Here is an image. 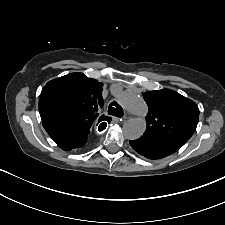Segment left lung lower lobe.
Instances as JSON below:
<instances>
[{"instance_id":"0a47b994","label":"left lung lower lobe","mask_w":225,"mask_h":225,"mask_svg":"<svg viewBox=\"0 0 225 225\" xmlns=\"http://www.w3.org/2000/svg\"><path fill=\"white\" fill-rule=\"evenodd\" d=\"M129 143L137 153L153 160L169 156L185 144L180 140L153 139L145 136L131 140Z\"/></svg>"}]
</instances>
